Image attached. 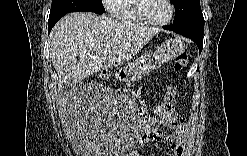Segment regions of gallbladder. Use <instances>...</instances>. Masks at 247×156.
I'll return each instance as SVG.
<instances>
[{"mask_svg": "<svg viewBox=\"0 0 247 156\" xmlns=\"http://www.w3.org/2000/svg\"><path fill=\"white\" fill-rule=\"evenodd\" d=\"M75 85H76V82L74 81V79L71 78L62 85L60 91L64 94H68L74 88Z\"/></svg>", "mask_w": 247, "mask_h": 156, "instance_id": "obj_1", "label": "gallbladder"}]
</instances>
